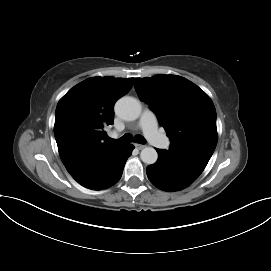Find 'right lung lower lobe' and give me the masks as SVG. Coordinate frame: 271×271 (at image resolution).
Here are the masks:
<instances>
[{
  "label": "right lung lower lobe",
  "instance_id": "98d812e1",
  "mask_svg": "<svg viewBox=\"0 0 271 271\" xmlns=\"http://www.w3.org/2000/svg\"><path fill=\"white\" fill-rule=\"evenodd\" d=\"M133 149V145H123L96 174L80 184L92 190L107 189L116 184Z\"/></svg>",
  "mask_w": 271,
  "mask_h": 271
}]
</instances>
